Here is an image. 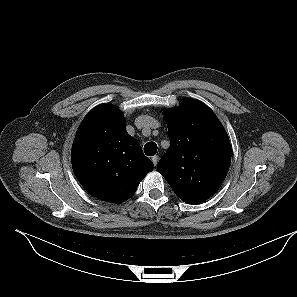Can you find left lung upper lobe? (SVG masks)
<instances>
[{"label":"left lung upper lobe","mask_w":297,"mask_h":297,"mask_svg":"<svg viewBox=\"0 0 297 297\" xmlns=\"http://www.w3.org/2000/svg\"><path fill=\"white\" fill-rule=\"evenodd\" d=\"M165 119L170 147L157 170L181 200L201 203L217 192L228 173V135L210 108L195 99L166 111Z\"/></svg>","instance_id":"obj_1"}]
</instances>
